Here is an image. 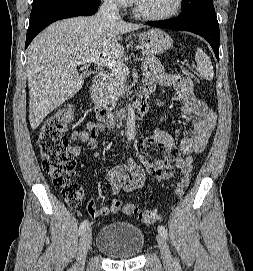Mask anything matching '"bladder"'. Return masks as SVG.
I'll return each mask as SVG.
<instances>
[{"mask_svg":"<svg viewBox=\"0 0 253 271\" xmlns=\"http://www.w3.org/2000/svg\"><path fill=\"white\" fill-rule=\"evenodd\" d=\"M145 246L143 231L129 222H111L98 233L96 248L112 260L138 257Z\"/></svg>","mask_w":253,"mask_h":271,"instance_id":"1","label":"bladder"}]
</instances>
